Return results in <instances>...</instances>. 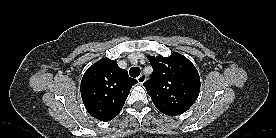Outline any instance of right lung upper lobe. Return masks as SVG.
<instances>
[{
	"label": "right lung upper lobe",
	"instance_id": "right-lung-upper-lobe-1",
	"mask_svg": "<svg viewBox=\"0 0 276 138\" xmlns=\"http://www.w3.org/2000/svg\"><path fill=\"white\" fill-rule=\"evenodd\" d=\"M137 83L117 61L103 58L90 66L81 80L86 110L100 121H110L121 111L129 91Z\"/></svg>",
	"mask_w": 276,
	"mask_h": 138
}]
</instances>
